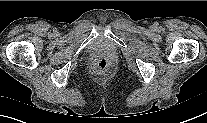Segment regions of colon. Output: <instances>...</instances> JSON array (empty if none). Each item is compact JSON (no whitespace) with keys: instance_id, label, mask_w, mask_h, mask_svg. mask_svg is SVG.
<instances>
[{"instance_id":"colon-1","label":"colon","mask_w":207,"mask_h":123,"mask_svg":"<svg viewBox=\"0 0 207 123\" xmlns=\"http://www.w3.org/2000/svg\"><path fill=\"white\" fill-rule=\"evenodd\" d=\"M108 66V61L105 58H101L98 61V67L101 69H105Z\"/></svg>"}]
</instances>
